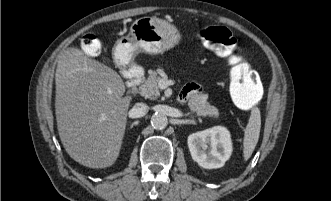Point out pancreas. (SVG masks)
I'll list each match as a JSON object with an SVG mask.
<instances>
[{
  "instance_id": "cf45deb5",
  "label": "pancreas",
  "mask_w": 331,
  "mask_h": 201,
  "mask_svg": "<svg viewBox=\"0 0 331 201\" xmlns=\"http://www.w3.org/2000/svg\"><path fill=\"white\" fill-rule=\"evenodd\" d=\"M159 80L160 77L155 71L149 72L148 78L139 86L140 94L151 100L157 99L160 96V90L158 88ZM207 99V94H196L192 96L188 102L189 109L192 113H196V115L200 117L209 116L212 118H218V109L210 105L207 102Z\"/></svg>"
}]
</instances>
